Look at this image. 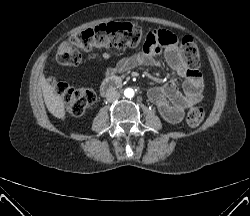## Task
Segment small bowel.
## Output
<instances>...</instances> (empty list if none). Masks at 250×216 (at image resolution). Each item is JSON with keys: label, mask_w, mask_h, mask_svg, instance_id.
Here are the masks:
<instances>
[{"label": "small bowel", "mask_w": 250, "mask_h": 216, "mask_svg": "<svg viewBox=\"0 0 250 216\" xmlns=\"http://www.w3.org/2000/svg\"><path fill=\"white\" fill-rule=\"evenodd\" d=\"M178 40L168 31H150L142 39L143 51L121 58L114 66L104 72L105 78L126 72L139 66H157L160 53L164 50V59L171 69L165 84L149 90V99L157 106L161 116L170 123L183 119L186 110L197 105L203 97L204 82L197 70L187 69L177 50ZM110 54H103L98 60H108ZM183 78V88L179 90L176 77Z\"/></svg>", "instance_id": "small-bowel-1"}]
</instances>
